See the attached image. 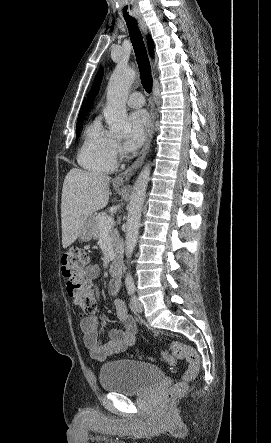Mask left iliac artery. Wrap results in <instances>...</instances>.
Wrapping results in <instances>:
<instances>
[{
    "mask_svg": "<svg viewBox=\"0 0 271 443\" xmlns=\"http://www.w3.org/2000/svg\"><path fill=\"white\" fill-rule=\"evenodd\" d=\"M127 291L129 295H132L135 292V286L132 283H129L127 286Z\"/></svg>",
    "mask_w": 271,
    "mask_h": 443,
    "instance_id": "obj_1",
    "label": "left iliac artery"
}]
</instances>
